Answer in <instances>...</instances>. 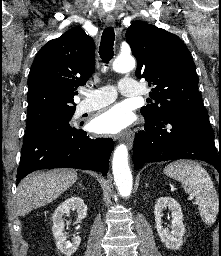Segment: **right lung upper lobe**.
I'll list each match as a JSON object with an SVG mask.
<instances>
[{
  "label": "right lung upper lobe",
  "mask_w": 221,
  "mask_h": 256,
  "mask_svg": "<svg viewBox=\"0 0 221 256\" xmlns=\"http://www.w3.org/2000/svg\"><path fill=\"white\" fill-rule=\"evenodd\" d=\"M95 70V44L80 27L50 40L37 53L28 77V111L72 108L73 96Z\"/></svg>",
  "instance_id": "obj_1"
}]
</instances>
